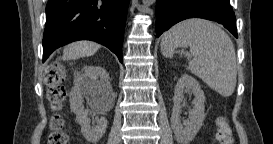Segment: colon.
I'll use <instances>...</instances> for the list:
<instances>
[{"mask_svg":"<svg viewBox=\"0 0 273 144\" xmlns=\"http://www.w3.org/2000/svg\"><path fill=\"white\" fill-rule=\"evenodd\" d=\"M65 71L61 64H52L45 73V81L48 86V99L52 106L57 109L63 103L66 97L64 87ZM62 117L55 114L52 118V133L49 136L50 144H66L68 143V135L62 130ZM217 139L220 144H232V131L228 121L224 117L217 120Z\"/></svg>","mask_w":273,"mask_h":144,"instance_id":"colon-1","label":"colon"}]
</instances>
